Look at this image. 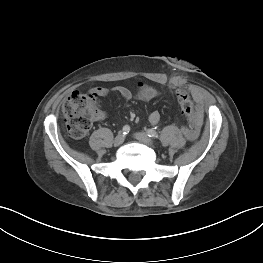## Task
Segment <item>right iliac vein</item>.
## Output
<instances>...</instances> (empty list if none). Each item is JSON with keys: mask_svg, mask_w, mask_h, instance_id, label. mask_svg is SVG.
<instances>
[{"mask_svg": "<svg viewBox=\"0 0 263 263\" xmlns=\"http://www.w3.org/2000/svg\"><path fill=\"white\" fill-rule=\"evenodd\" d=\"M124 140L125 136L122 133H119L114 139V145L119 146L124 142Z\"/></svg>", "mask_w": 263, "mask_h": 263, "instance_id": "obj_1", "label": "right iliac vein"}]
</instances>
